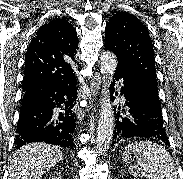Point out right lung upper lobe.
Masks as SVG:
<instances>
[{
    "mask_svg": "<svg viewBox=\"0 0 183 179\" xmlns=\"http://www.w3.org/2000/svg\"><path fill=\"white\" fill-rule=\"evenodd\" d=\"M78 37L74 27L57 18L42 25L25 55L23 89L38 83H69L75 80Z\"/></svg>",
    "mask_w": 183,
    "mask_h": 179,
    "instance_id": "right-lung-upper-lobe-1",
    "label": "right lung upper lobe"
}]
</instances>
